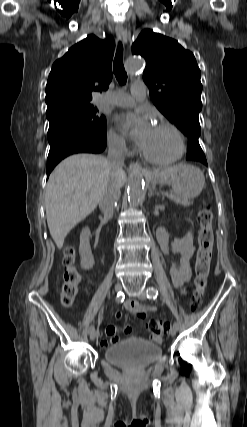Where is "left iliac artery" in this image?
I'll return each instance as SVG.
<instances>
[{"label": "left iliac artery", "mask_w": 247, "mask_h": 427, "mask_svg": "<svg viewBox=\"0 0 247 427\" xmlns=\"http://www.w3.org/2000/svg\"><path fill=\"white\" fill-rule=\"evenodd\" d=\"M147 298L151 299V298H156L158 295V290L154 289V288H149L147 289ZM177 328H179V323L177 321L174 322V324Z\"/></svg>", "instance_id": "obj_1"}]
</instances>
